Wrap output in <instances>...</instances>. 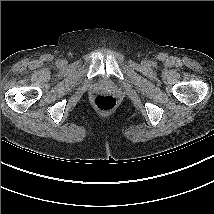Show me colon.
I'll use <instances>...</instances> for the list:
<instances>
[{"label":"colon","instance_id":"obj_1","mask_svg":"<svg viewBox=\"0 0 214 214\" xmlns=\"http://www.w3.org/2000/svg\"><path fill=\"white\" fill-rule=\"evenodd\" d=\"M94 104L98 110L109 112L116 107L117 101L111 95H98L94 100Z\"/></svg>","mask_w":214,"mask_h":214}]
</instances>
